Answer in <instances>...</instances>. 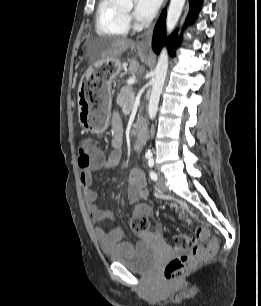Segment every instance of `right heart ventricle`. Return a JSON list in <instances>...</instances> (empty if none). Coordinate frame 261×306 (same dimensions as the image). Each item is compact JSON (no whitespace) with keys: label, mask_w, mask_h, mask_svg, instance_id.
<instances>
[{"label":"right heart ventricle","mask_w":261,"mask_h":306,"mask_svg":"<svg viewBox=\"0 0 261 306\" xmlns=\"http://www.w3.org/2000/svg\"><path fill=\"white\" fill-rule=\"evenodd\" d=\"M96 31L99 35L125 36L129 31L124 11L115 0H99L96 11Z\"/></svg>","instance_id":"right-heart-ventricle-1"}]
</instances>
